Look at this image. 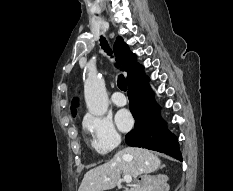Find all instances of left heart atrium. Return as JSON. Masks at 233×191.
Listing matches in <instances>:
<instances>
[{
	"label": "left heart atrium",
	"mask_w": 233,
	"mask_h": 191,
	"mask_svg": "<svg viewBox=\"0 0 233 191\" xmlns=\"http://www.w3.org/2000/svg\"><path fill=\"white\" fill-rule=\"evenodd\" d=\"M116 123L122 131H128L133 125V118L127 110H120L116 115Z\"/></svg>",
	"instance_id": "left-heart-atrium-1"
}]
</instances>
